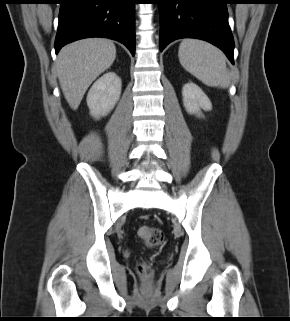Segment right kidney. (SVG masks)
I'll return each instance as SVG.
<instances>
[{
  "label": "right kidney",
  "instance_id": "right-kidney-1",
  "mask_svg": "<svg viewBox=\"0 0 290 321\" xmlns=\"http://www.w3.org/2000/svg\"><path fill=\"white\" fill-rule=\"evenodd\" d=\"M121 95V79L114 72L101 76L90 88L87 105L91 116L99 119L106 116L116 105Z\"/></svg>",
  "mask_w": 290,
  "mask_h": 321
}]
</instances>
